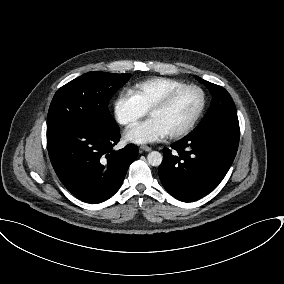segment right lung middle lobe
Here are the masks:
<instances>
[{
    "label": "right lung middle lobe",
    "instance_id": "1",
    "mask_svg": "<svg viewBox=\"0 0 284 284\" xmlns=\"http://www.w3.org/2000/svg\"><path fill=\"white\" fill-rule=\"evenodd\" d=\"M130 76L94 71L61 87L49 108L47 137L75 128L116 130L118 125L108 110V102Z\"/></svg>",
    "mask_w": 284,
    "mask_h": 284
}]
</instances>
